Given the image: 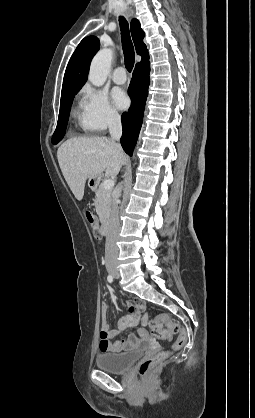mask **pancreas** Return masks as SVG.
<instances>
[{
  "label": "pancreas",
  "instance_id": "1",
  "mask_svg": "<svg viewBox=\"0 0 255 418\" xmlns=\"http://www.w3.org/2000/svg\"><path fill=\"white\" fill-rule=\"evenodd\" d=\"M95 208H96V212L100 218V220H104L105 218H107L110 214V210H111V196H112V191L111 190H106L103 188V185L100 184L98 186V188L95 190Z\"/></svg>",
  "mask_w": 255,
  "mask_h": 418
}]
</instances>
